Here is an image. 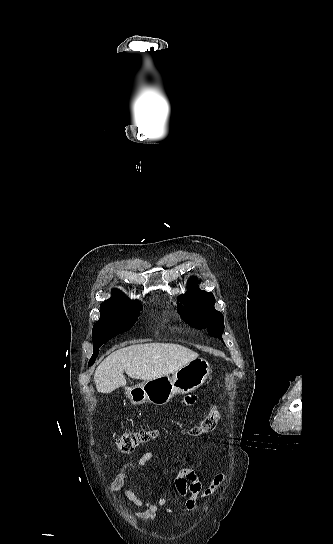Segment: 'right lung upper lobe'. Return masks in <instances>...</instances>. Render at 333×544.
<instances>
[{
    "mask_svg": "<svg viewBox=\"0 0 333 544\" xmlns=\"http://www.w3.org/2000/svg\"><path fill=\"white\" fill-rule=\"evenodd\" d=\"M112 297L105 300L103 303H109V302H117V301H125V300H130L125 294H123L120 290L118 289H113L112 290Z\"/></svg>",
    "mask_w": 333,
    "mask_h": 544,
    "instance_id": "right-lung-upper-lobe-1",
    "label": "right lung upper lobe"
}]
</instances>
